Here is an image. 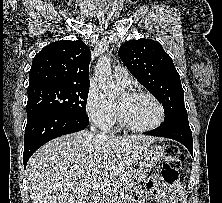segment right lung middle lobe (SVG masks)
I'll list each match as a JSON object with an SVG mask.
<instances>
[{"mask_svg": "<svg viewBox=\"0 0 222 203\" xmlns=\"http://www.w3.org/2000/svg\"><path fill=\"white\" fill-rule=\"evenodd\" d=\"M90 85H57L28 90L27 117L40 112L87 115Z\"/></svg>", "mask_w": 222, "mask_h": 203, "instance_id": "dd1d6c3e", "label": "right lung middle lobe"}]
</instances>
